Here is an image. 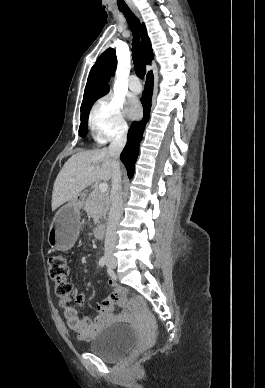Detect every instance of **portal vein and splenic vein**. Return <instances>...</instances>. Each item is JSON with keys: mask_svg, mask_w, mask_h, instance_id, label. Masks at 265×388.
I'll use <instances>...</instances> for the list:
<instances>
[{"mask_svg": "<svg viewBox=\"0 0 265 388\" xmlns=\"http://www.w3.org/2000/svg\"><path fill=\"white\" fill-rule=\"evenodd\" d=\"M88 170H93V166H90ZM99 190L102 192V194H104V192H107L108 190V184H104V182H102V184H99Z\"/></svg>", "mask_w": 265, "mask_h": 388, "instance_id": "portal-vein-and-splenic-vein-1", "label": "portal vein and splenic vein"}]
</instances>
